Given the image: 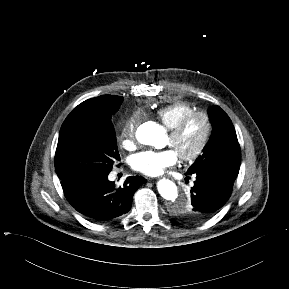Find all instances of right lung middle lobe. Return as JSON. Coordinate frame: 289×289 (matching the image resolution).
Returning a JSON list of instances; mask_svg holds the SVG:
<instances>
[{"instance_id":"dd1d6c3e","label":"right lung middle lobe","mask_w":289,"mask_h":289,"mask_svg":"<svg viewBox=\"0 0 289 289\" xmlns=\"http://www.w3.org/2000/svg\"><path fill=\"white\" fill-rule=\"evenodd\" d=\"M123 97L102 95L82 102L65 119L55 153L60 179L108 174L120 159L111 121Z\"/></svg>"}]
</instances>
